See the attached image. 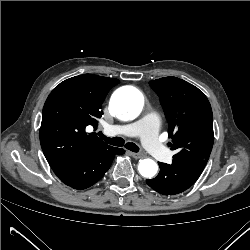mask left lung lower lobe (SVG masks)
Segmentation results:
<instances>
[{
  "label": "left lung lower lobe",
  "instance_id": "0a47b994",
  "mask_svg": "<svg viewBox=\"0 0 250 250\" xmlns=\"http://www.w3.org/2000/svg\"><path fill=\"white\" fill-rule=\"evenodd\" d=\"M158 176L146 183L158 193L174 195L192 186L202 173L206 161L202 159L173 162L171 165L160 163Z\"/></svg>",
  "mask_w": 250,
  "mask_h": 250
}]
</instances>
